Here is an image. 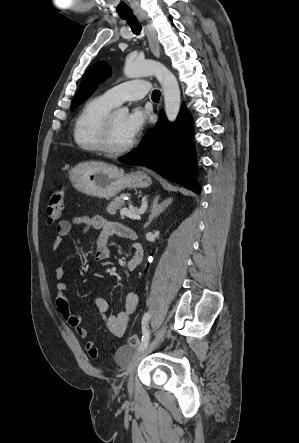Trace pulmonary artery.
<instances>
[{
	"instance_id": "obj_1",
	"label": "pulmonary artery",
	"mask_w": 299,
	"mask_h": 443,
	"mask_svg": "<svg viewBox=\"0 0 299 443\" xmlns=\"http://www.w3.org/2000/svg\"><path fill=\"white\" fill-rule=\"evenodd\" d=\"M149 89L150 84L147 80L136 79L108 89L104 96L117 105L124 101L140 100L149 92Z\"/></svg>"
}]
</instances>
